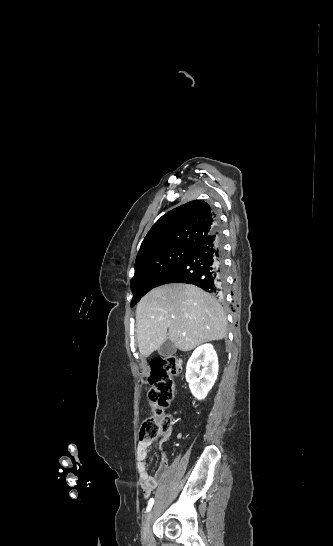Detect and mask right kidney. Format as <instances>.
Segmentation results:
<instances>
[{
	"mask_svg": "<svg viewBox=\"0 0 333 546\" xmlns=\"http://www.w3.org/2000/svg\"><path fill=\"white\" fill-rule=\"evenodd\" d=\"M200 365L204 368L200 371ZM218 375V358L211 344H205L194 350L186 366V380L193 396L203 400Z\"/></svg>",
	"mask_w": 333,
	"mask_h": 546,
	"instance_id": "ca27d5eb",
	"label": "right kidney"
}]
</instances>
